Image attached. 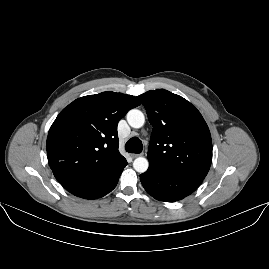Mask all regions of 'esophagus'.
<instances>
[{
  "instance_id": "obj_1",
  "label": "esophagus",
  "mask_w": 269,
  "mask_h": 269,
  "mask_svg": "<svg viewBox=\"0 0 269 269\" xmlns=\"http://www.w3.org/2000/svg\"><path fill=\"white\" fill-rule=\"evenodd\" d=\"M138 156H140V154H131V157H132V158H136V157H138Z\"/></svg>"
}]
</instances>
